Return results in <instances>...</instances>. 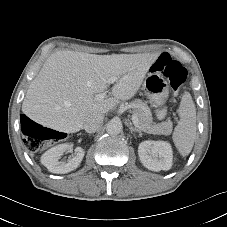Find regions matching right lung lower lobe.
Returning a JSON list of instances; mask_svg holds the SVG:
<instances>
[{"mask_svg": "<svg viewBox=\"0 0 227 227\" xmlns=\"http://www.w3.org/2000/svg\"><path fill=\"white\" fill-rule=\"evenodd\" d=\"M34 123L33 121H31L28 117H26L25 115H21V128L22 130L27 126Z\"/></svg>", "mask_w": 227, "mask_h": 227, "instance_id": "obj_1", "label": "right lung lower lobe"}]
</instances>
